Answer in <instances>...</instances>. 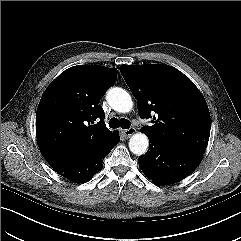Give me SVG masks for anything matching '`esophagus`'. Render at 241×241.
Returning a JSON list of instances; mask_svg holds the SVG:
<instances>
[{
  "mask_svg": "<svg viewBox=\"0 0 241 241\" xmlns=\"http://www.w3.org/2000/svg\"><path fill=\"white\" fill-rule=\"evenodd\" d=\"M123 133H124L125 136L130 137V136H132L133 134L136 133V129L131 127L129 129L124 130Z\"/></svg>",
  "mask_w": 241,
  "mask_h": 241,
  "instance_id": "obj_1",
  "label": "esophagus"
}]
</instances>
